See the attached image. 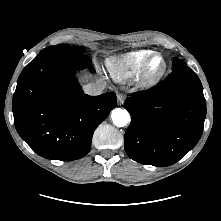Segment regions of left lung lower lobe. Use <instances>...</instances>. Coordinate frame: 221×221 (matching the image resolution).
<instances>
[{
    "mask_svg": "<svg viewBox=\"0 0 221 221\" xmlns=\"http://www.w3.org/2000/svg\"><path fill=\"white\" fill-rule=\"evenodd\" d=\"M131 124L124 136L127 155L142 164L169 166L199 141L206 118L203 87L188 66L172 70L154 88L124 102Z\"/></svg>",
    "mask_w": 221,
    "mask_h": 221,
    "instance_id": "left-lung-lower-lobe-1",
    "label": "left lung lower lobe"
}]
</instances>
